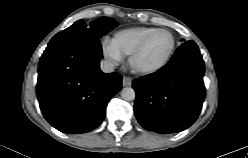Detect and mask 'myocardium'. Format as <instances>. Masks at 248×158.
Listing matches in <instances>:
<instances>
[{"instance_id": "1", "label": "myocardium", "mask_w": 248, "mask_h": 158, "mask_svg": "<svg viewBox=\"0 0 248 158\" xmlns=\"http://www.w3.org/2000/svg\"><path fill=\"white\" fill-rule=\"evenodd\" d=\"M159 32L167 33L171 38V47H170L169 52L167 53L166 57L160 63H158L157 65L152 66V67L142 68V67L137 66L136 65L137 57L142 53V51L144 50L149 39L154 34L159 33ZM175 48H176V39H175V36L173 35L172 32H170L167 29H163V28L154 29L153 31L149 32L140 41V43L137 45V47L129 55V65H130L131 69L138 74H142V75L154 74V73L160 71L161 69H163L169 63L170 59L172 58V56L175 52Z\"/></svg>"}]
</instances>
